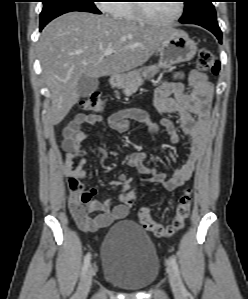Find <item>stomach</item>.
Returning <instances> with one entry per match:
<instances>
[{
  "label": "stomach",
  "instance_id": "obj_1",
  "mask_svg": "<svg viewBox=\"0 0 248 299\" xmlns=\"http://www.w3.org/2000/svg\"><path fill=\"white\" fill-rule=\"evenodd\" d=\"M158 51L160 58L157 65L117 75L114 78L113 85L124 88L135 83L138 79L143 81L142 78L153 77L160 68H168L176 63L190 61L197 52V45L185 32L176 30L163 41Z\"/></svg>",
  "mask_w": 248,
  "mask_h": 299
}]
</instances>
